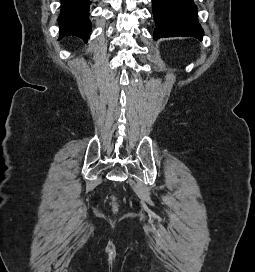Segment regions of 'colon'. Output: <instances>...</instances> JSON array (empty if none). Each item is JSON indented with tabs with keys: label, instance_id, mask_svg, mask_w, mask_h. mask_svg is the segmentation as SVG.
Instances as JSON below:
<instances>
[{
	"label": "colon",
	"instance_id": "5ec220e1",
	"mask_svg": "<svg viewBox=\"0 0 255 272\" xmlns=\"http://www.w3.org/2000/svg\"><path fill=\"white\" fill-rule=\"evenodd\" d=\"M112 205H113V208H114V209H117V208H118V203H117V201H116L115 198L112 199Z\"/></svg>",
	"mask_w": 255,
	"mask_h": 272
}]
</instances>
